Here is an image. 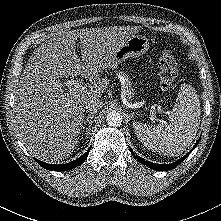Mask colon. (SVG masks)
Here are the masks:
<instances>
[{"instance_id":"colon-1","label":"colon","mask_w":221,"mask_h":221,"mask_svg":"<svg viewBox=\"0 0 221 221\" xmlns=\"http://www.w3.org/2000/svg\"><path fill=\"white\" fill-rule=\"evenodd\" d=\"M159 81L164 90H168L178 75V63L175 56L168 50L159 59Z\"/></svg>"}]
</instances>
